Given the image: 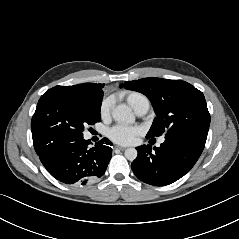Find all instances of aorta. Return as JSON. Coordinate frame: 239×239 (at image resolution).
Wrapping results in <instances>:
<instances>
[{
	"label": "aorta",
	"mask_w": 239,
	"mask_h": 239,
	"mask_svg": "<svg viewBox=\"0 0 239 239\" xmlns=\"http://www.w3.org/2000/svg\"><path fill=\"white\" fill-rule=\"evenodd\" d=\"M112 117L118 123L131 124L135 121L134 114L126 105H118L115 107L112 111ZM124 155L128 160L133 161L137 158V150L135 148H128L125 150Z\"/></svg>",
	"instance_id": "762f6f07"
}]
</instances>
